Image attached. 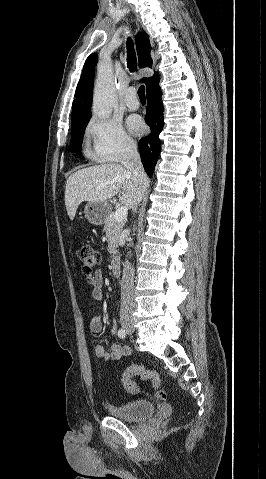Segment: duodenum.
<instances>
[{"instance_id":"obj_1","label":"duodenum","mask_w":266,"mask_h":479,"mask_svg":"<svg viewBox=\"0 0 266 479\" xmlns=\"http://www.w3.org/2000/svg\"><path fill=\"white\" fill-rule=\"evenodd\" d=\"M111 273L113 276L117 277L120 274L121 259L118 256H114L111 259Z\"/></svg>"}]
</instances>
